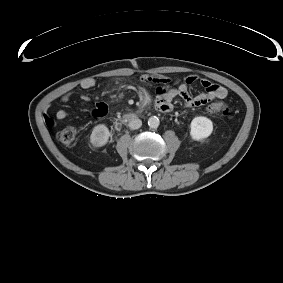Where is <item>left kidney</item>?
Segmentation results:
<instances>
[{
  "label": "left kidney",
  "instance_id": "obj_1",
  "mask_svg": "<svg viewBox=\"0 0 283 283\" xmlns=\"http://www.w3.org/2000/svg\"><path fill=\"white\" fill-rule=\"evenodd\" d=\"M213 131V123L204 116L195 117L190 124V135L193 140H202L211 135Z\"/></svg>",
  "mask_w": 283,
  "mask_h": 283
}]
</instances>
